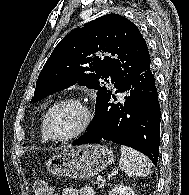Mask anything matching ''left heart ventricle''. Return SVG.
Instances as JSON below:
<instances>
[{
	"mask_svg": "<svg viewBox=\"0 0 189 195\" xmlns=\"http://www.w3.org/2000/svg\"><path fill=\"white\" fill-rule=\"evenodd\" d=\"M84 120L83 110L74 104L59 106L51 115L49 126L56 137H65L77 131Z\"/></svg>",
	"mask_w": 189,
	"mask_h": 195,
	"instance_id": "obj_1",
	"label": "left heart ventricle"
}]
</instances>
